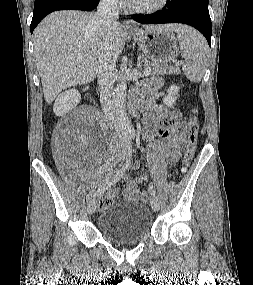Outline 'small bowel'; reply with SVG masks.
I'll return each mask as SVG.
<instances>
[{
  "label": "small bowel",
  "instance_id": "obj_1",
  "mask_svg": "<svg viewBox=\"0 0 253 285\" xmlns=\"http://www.w3.org/2000/svg\"><path fill=\"white\" fill-rule=\"evenodd\" d=\"M162 87V79L155 78L144 88L147 99L143 105V138L153 145L155 151L165 158L167 164L171 167L176 164L181 156L186 140L187 123L182 119L179 112L172 111L165 105L156 103L161 95ZM154 135L158 136L160 140H156ZM60 150L64 154L66 146L61 144ZM134 168L139 169L138 164H135ZM149 168L151 169L152 166H149ZM123 180L126 185L123 191L124 199L138 201L140 198L138 185L146 182L148 175L140 172L135 179H132L125 173ZM118 194V188H109L107 191V196L111 199L116 198Z\"/></svg>",
  "mask_w": 253,
  "mask_h": 285
}]
</instances>
